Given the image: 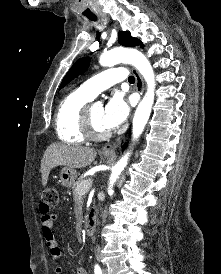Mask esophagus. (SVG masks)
Instances as JSON below:
<instances>
[{
	"mask_svg": "<svg viewBox=\"0 0 221 274\" xmlns=\"http://www.w3.org/2000/svg\"><path fill=\"white\" fill-rule=\"evenodd\" d=\"M132 73L135 77V86L136 90L139 92V94L142 96L143 91H144V84L141 75L139 72L135 69L132 68ZM121 140H117L115 143L112 144H107L102 148V152L106 154H115L117 147L120 145Z\"/></svg>",
	"mask_w": 221,
	"mask_h": 274,
	"instance_id": "1",
	"label": "esophagus"
}]
</instances>
